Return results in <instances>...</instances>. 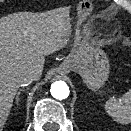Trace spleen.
<instances>
[{
    "mask_svg": "<svg viewBox=\"0 0 131 131\" xmlns=\"http://www.w3.org/2000/svg\"><path fill=\"white\" fill-rule=\"evenodd\" d=\"M104 108L116 122L121 124L131 123V89L119 99H109Z\"/></svg>",
    "mask_w": 131,
    "mask_h": 131,
    "instance_id": "1",
    "label": "spleen"
}]
</instances>
